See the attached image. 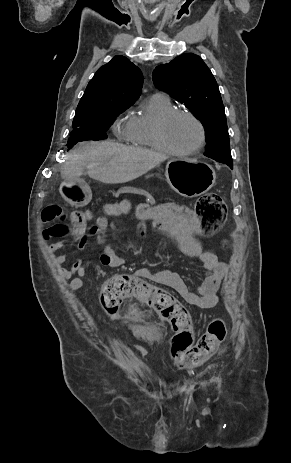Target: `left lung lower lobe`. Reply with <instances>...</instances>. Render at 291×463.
I'll use <instances>...</instances> for the list:
<instances>
[{"instance_id": "1", "label": "left lung lower lobe", "mask_w": 291, "mask_h": 463, "mask_svg": "<svg viewBox=\"0 0 291 463\" xmlns=\"http://www.w3.org/2000/svg\"><path fill=\"white\" fill-rule=\"evenodd\" d=\"M216 161L221 162V163H225V164H227L230 168H233V161H232V160L221 159V160H216Z\"/></svg>"}]
</instances>
